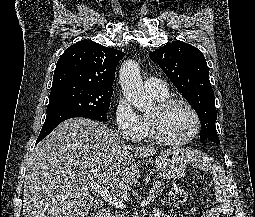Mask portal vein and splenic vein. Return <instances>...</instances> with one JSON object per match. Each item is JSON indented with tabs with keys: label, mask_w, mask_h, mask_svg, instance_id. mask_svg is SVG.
<instances>
[{
	"label": "portal vein and splenic vein",
	"mask_w": 255,
	"mask_h": 217,
	"mask_svg": "<svg viewBox=\"0 0 255 217\" xmlns=\"http://www.w3.org/2000/svg\"><path fill=\"white\" fill-rule=\"evenodd\" d=\"M88 185L95 191L97 192L100 196H102L109 204L114 206L115 208L118 209H124L126 206L120 198L116 197L114 194L109 192V190L101 185H98L96 183H88ZM153 199V195H149L146 197L142 202H140V206H145L150 203V201Z\"/></svg>",
	"instance_id": "1"
}]
</instances>
